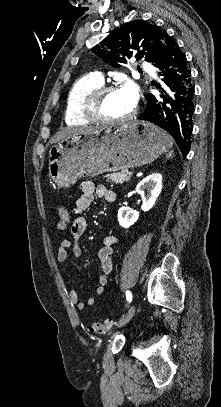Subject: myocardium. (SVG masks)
<instances>
[{"label":"myocardium","mask_w":221,"mask_h":407,"mask_svg":"<svg viewBox=\"0 0 221 407\" xmlns=\"http://www.w3.org/2000/svg\"><path fill=\"white\" fill-rule=\"evenodd\" d=\"M118 89L119 87L117 85L107 84L102 85L96 90H94L93 93L87 98L83 106V111L87 119L94 122L117 124L123 123L133 118L137 111L136 107H134L130 113L119 118H110L104 114L103 112L104 98L110 92Z\"/></svg>","instance_id":"1"}]
</instances>
